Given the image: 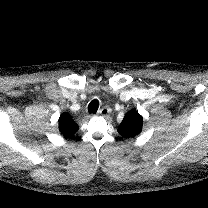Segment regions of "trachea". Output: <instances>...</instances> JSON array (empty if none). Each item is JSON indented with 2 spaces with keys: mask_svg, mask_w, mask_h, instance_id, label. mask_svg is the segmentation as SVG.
Masks as SVG:
<instances>
[{
  "mask_svg": "<svg viewBox=\"0 0 208 208\" xmlns=\"http://www.w3.org/2000/svg\"><path fill=\"white\" fill-rule=\"evenodd\" d=\"M98 107H99V101L93 100L88 105V112L95 114L98 110Z\"/></svg>",
  "mask_w": 208,
  "mask_h": 208,
  "instance_id": "trachea-1",
  "label": "trachea"
}]
</instances>
